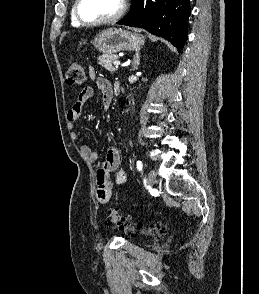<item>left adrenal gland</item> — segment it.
I'll return each instance as SVG.
<instances>
[{"label": "left adrenal gland", "mask_w": 259, "mask_h": 294, "mask_svg": "<svg viewBox=\"0 0 259 294\" xmlns=\"http://www.w3.org/2000/svg\"><path fill=\"white\" fill-rule=\"evenodd\" d=\"M139 64H140V53L136 52L135 55H134V58H133L131 71L137 70Z\"/></svg>", "instance_id": "obj_1"}]
</instances>
